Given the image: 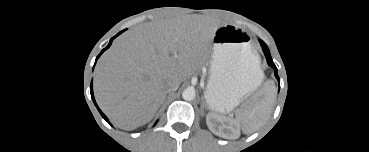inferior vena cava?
Returning <instances> with one entry per match:
<instances>
[{"label": "inferior vena cava", "instance_id": "inferior-vena-cava-1", "mask_svg": "<svg viewBox=\"0 0 369 152\" xmlns=\"http://www.w3.org/2000/svg\"><path fill=\"white\" fill-rule=\"evenodd\" d=\"M178 87H179V83L177 81L170 80L166 84V92L169 93L172 91H176Z\"/></svg>", "mask_w": 369, "mask_h": 152}]
</instances>
